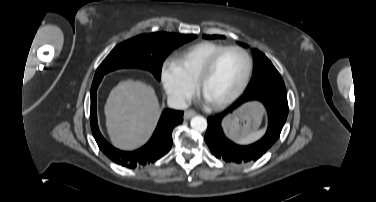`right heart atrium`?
Wrapping results in <instances>:
<instances>
[{
  "instance_id": "right-heart-atrium-1",
  "label": "right heart atrium",
  "mask_w": 376,
  "mask_h": 202,
  "mask_svg": "<svg viewBox=\"0 0 376 202\" xmlns=\"http://www.w3.org/2000/svg\"><path fill=\"white\" fill-rule=\"evenodd\" d=\"M160 80L169 100L176 106L187 104L195 94V84L190 82L174 59H165L160 67Z\"/></svg>"
}]
</instances>
